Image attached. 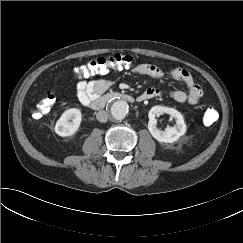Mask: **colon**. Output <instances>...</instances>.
Wrapping results in <instances>:
<instances>
[{"label": "colon", "instance_id": "5ec220e1", "mask_svg": "<svg viewBox=\"0 0 243 243\" xmlns=\"http://www.w3.org/2000/svg\"><path fill=\"white\" fill-rule=\"evenodd\" d=\"M135 61V57L129 54H114L109 57H97L77 67L75 73L79 77H91L95 74H104L111 68L130 66L134 64ZM56 100V95L49 92L32 111L33 119H40L44 114L48 113L54 106ZM217 119L218 113L214 108L209 107L204 111L203 121L206 125H212Z\"/></svg>", "mask_w": 243, "mask_h": 243}]
</instances>
